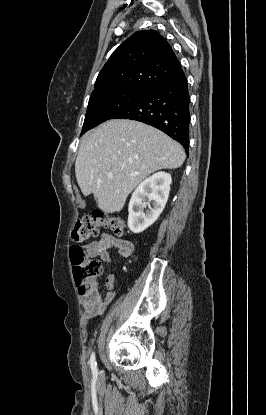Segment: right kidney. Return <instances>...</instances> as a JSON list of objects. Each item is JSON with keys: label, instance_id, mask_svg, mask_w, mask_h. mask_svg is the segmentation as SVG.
Segmentation results:
<instances>
[{"label": "right kidney", "instance_id": "obj_1", "mask_svg": "<svg viewBox=\"0 0 266 415\" xmlns=\"http://www.w3.org/2000/svg\"><path fill=\"white\" fill-rule=\"evenodd\" d=\"M171 182L170 174L158 172L145 179L135 189L128 207V227L133 233L143 232L158 219L167 203ZM151 201L153 207L149 206V210L144 213Z\"/></svg>", "mask_w": 266, "mask_h": 415}]
</instances>
